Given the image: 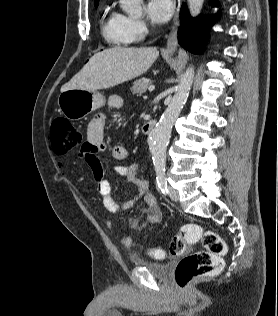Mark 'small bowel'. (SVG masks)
I'll return each mask as SVG.
<instances>
[{
	"instance_id": "1",
	"label": "small bowel",
	"mask_w": 278,
	"mask_h": 316,
	"mask_svg": "<svg viewBox=\"0 0 278 316\" xmlns=\"http://www.w3.org/2000/svg\"><path fill=\"white\" fill-rule=\"evenodd\" d=\"M108 104L111 108L119 110L123 105V100L120 96L112 95L109 97ZM106 118L103 115L95 116L87 125V140L82 145L79 156L90 168L93 179L96 183L97 190L103 199L104 207L111 213L126 211L130 209L139 198H143L147 206V218L144 221L132 220L131 227L139 231L150 225L157 224L164 218V211L159 206L156 197L150 191L149 182L145 179L137 177L139 163L131 165H118L114 167V171L124 177L128 182L136 186L138 194L132 199L123 203H118L111 197V184L105 176L102 163L98 154L107 150V144L104 141V129ZM110 157L114 160H125L128 157V150L122 145L114 146L110 150ZM107 226L109 229H114L112 219L108 220ZM121 244L125 247H132L135 244L133 237L129 235H119Z\"/></svg>"
}]
</instances>
